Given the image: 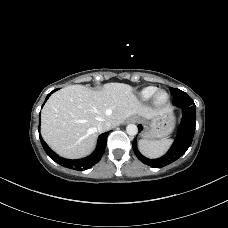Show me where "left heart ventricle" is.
<instances>
[{
	"label": "left heart ventricle",
	"mask_w": 228,
	"mask_h": 228,
	"mask_svg": "<svg viewBox=\"0 0 228 228\" xmlns=\"http://www.w3.org/2000/svg\"><path fill=\"white\" fill-rule=\"evenodd\" d=\"M161 99H164V96L163 95L161 96Z\"/></svg>",
	"instance_id": "left-heart-ventricle-1"
}]
</instances>
